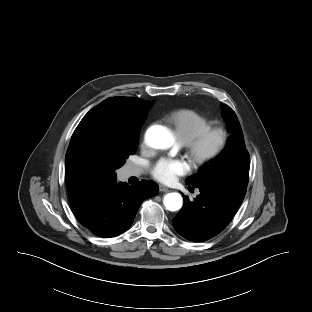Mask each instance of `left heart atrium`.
<instances>
[{
    "mask_svg": "<svg viewBox=\"0 0 312 312\" xmlns=\"http://www.w3.org/2000/svg\"><path fill=\"white\" fill-rule=\"evenodd\" d=\"M189 170V164L183 159L162 158L152 168V175L160 182L172 183Z\"/></svg>",
    "mask_w": 312,
    "mask_h": 312,
    "instance_id": "39dd6f15",
    "label": "left heart atrium"
}]
</instances>
